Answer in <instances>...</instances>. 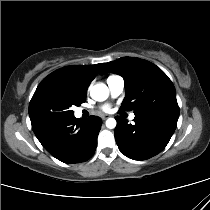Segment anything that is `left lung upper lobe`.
I'll return each mask as SVG.
<instances>
[{"label": "left lung upper lobe", "mask_w": 210, "mask_h": 210, "mask_svg": "<svg viewBox=\"0 0 210 210\" xmlns=\"http://www.w3.org/2000/svg\"><path fill=\"white\" fill-rule=\"evenodd\" d=\"M103 65L100 74L112 72L124 78L126 97L120 111L134 110L135 116L179 117L175 87L159 67L135 57H122Z\"/></svg>", "instance_id": "obj_1"}]
</instances>
